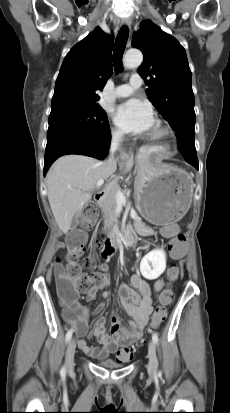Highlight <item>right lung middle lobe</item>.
<instances>
[{
	"mask_svg": "<svg viewBox=\"0 0 230 413\" xmlns=\"http://www.w3.org/2000/svg\"><path fill=\"white\" fill-rule=\"evenodd\" d=\"M108 132L107 115L100 106L59 108L49 116L47 145L69 138H97Z\"/></svg>",
	"mask_w": 230,
	"mask_h": 413,
	"instance_id": "obj_1",
	"label": "right lung middle lobe"
}]
</instances>
